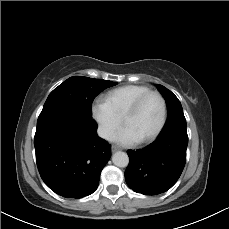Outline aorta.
Wrapping results in <instances>:
<instances>
[{"mask_svg":"<svg viewBox=\"0 0 229 229\" xmlns=\"http://www.w3.org/2000/svg\"><path fill=\"white\" fill-rule=\"evenodd\" d=\"M112 161L118 167H126L129 163V157L125 152L118 151L113 154Z\"/></svg>","mask_w":229,"mask_h":229,"instance_id":"aorta-1","label":"aorta"}]
</instances>
